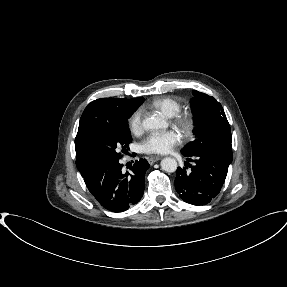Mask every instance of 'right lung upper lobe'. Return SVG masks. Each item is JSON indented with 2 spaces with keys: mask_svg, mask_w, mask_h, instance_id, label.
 I'll use <instances>...</instances> for the list:
<instances>
[{
  "mask_svg": "<svg viewBox=\"0 0 287 287\" xmlns=\"http://www.w3.org/2000/svg\"><path fill=\"white\" fill-rule=\"evenodd\" d=\"M144 98H101L85 108L75 138L76 166L84 176L95 165L90 161L89 142L92 133L105 122L132 113L143 103Z\"/></svg>",
  "mask_w": 287,
  "mask_h": 287,
  "instance_id": "right-lung-upper-lobe-1",
  "label": "right lung upper lobe"
}]
</instances>
